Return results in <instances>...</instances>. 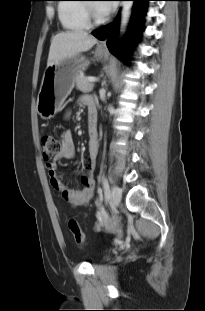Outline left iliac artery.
I'll list each match as a JSON object with an SVG mask.
<instances>
[{
    "label": "left iliac artery",
    "instance_id": "1",
    "mask_svg": "<svg viewBox=\"0 0 205 311\" xmlns=\"http://www.w3.org/2000/svg\"><path fill=\"white\" fill-rule=\"evenodd\" d=\"M103 186H104V190H105V197L109 198V196H110L109 184H108V180L106 179V177H103Z\"/></svg>",
    "mask_w": 205,
    "mask_h": 311
}]
</instances>
